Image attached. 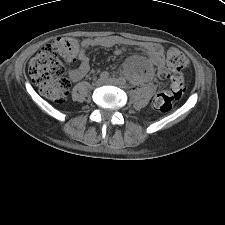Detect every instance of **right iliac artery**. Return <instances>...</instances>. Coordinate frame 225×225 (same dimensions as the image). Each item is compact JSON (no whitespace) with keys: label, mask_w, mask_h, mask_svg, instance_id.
Returning <instances> with one entry per match:
<instances>
[{"label":"right iliac artery","mask_w":225,"mask_h":225,"mask_svg":"<svg viewBox=\"0 0 225 225\" xmlns=\"http://www.w3.org/2000/svg\"><path fill=\"white\" fill-rule=\"evenodd\" d=\"M109 77V73L107 71H104L100 74V78L105 80Z\"/></svg>","instance_id":"obj_1"}]
</instances>
